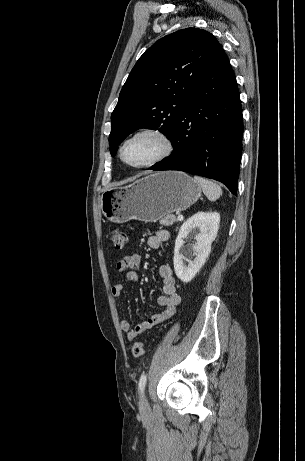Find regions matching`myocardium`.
I'll list each match as a JSON object with an SVG mask.
<instances>
[{
	"instance_id": "f54148a6",
	"label": "myocardium",
	"mask_w": 305,
	"mask_h": 461,
	"mask_svg": "<svg viewBox=\"0 0 305 461\" xmlns=\"http://www.w3.org/2000/svg\"><path fill=\"white\" fill-rule=\"evenodd\" d=\"M142 136H150V137L156 138L161 144V150L156 156H154L153 158H151L150 160L144 163L130 164L124 158V149L130 141L138 137H142ZM173 150H174V143L172 139L169 137V135L162 128L157 127V126H147V127H143V128L136 130L135 132H133L132 134H130L128 137L124 139V141L122 142L119 148V156H120L121 161L125 165L131 168H134V169H145V168L154 166L162 162L163 160L167 159L172 154Z\"/></svg>"
}]
</instances>
